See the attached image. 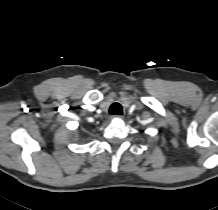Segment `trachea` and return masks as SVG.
Returning <instances> with one entry per match:
<instances>
[{"instance_id": "3493384b", "label": "trachea", "mask_w": 218, "mask_h": 210, "mask_svg": "<svg viewBox=\"0 0 218 210\" xmlns=\"http://www.w3.org/2000/svg\"><path fill=\"white\" fill-rule=\"evenodd\" d=\"M110 114L122 115V106L119 103H113L109 109Z\"/></svg>"}]
</instances>
